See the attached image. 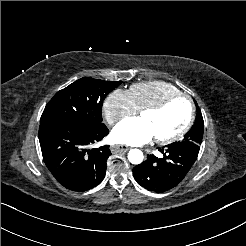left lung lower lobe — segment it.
Masks as SVG:
<instances>
[{
	"label": "left lung lower lobe",
	"instance_id": "0a47b994",
	"mask_svg": "<svg viewBox=\"0 0 246 246\" xmlns=\"http://www.w3.org/2000/svg\"><path fill=\"white\" fill-rule=\"evenodd\" d=\"M199 145L184 141L168 144L158 150L161 158L147 155V160L133 169L135 180L149 191L165 192L178 185L195 162Z\"/></svg>",
	"mask_w": 246,
	"mask_h": 246
}]
</instances>
